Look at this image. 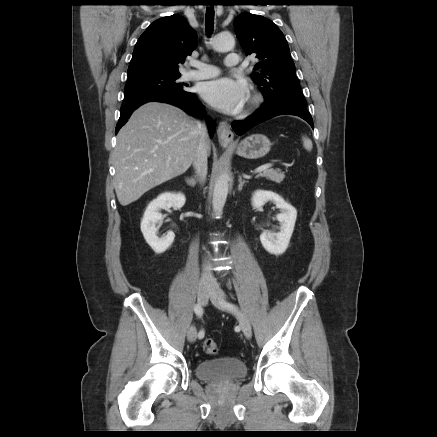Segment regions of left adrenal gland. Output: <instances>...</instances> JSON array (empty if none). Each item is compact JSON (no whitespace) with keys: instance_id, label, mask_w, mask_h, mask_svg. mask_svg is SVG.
I'll return each instance as SVG.
<instances>
[{"instance_id":"left-adrenal-gland-1","label":"left adrenal gland","mask_w":437,"mask_h":437,"mask_svg":"<svg viewBox=\"0 0 437 437\" xmlns=\"http://www.w3.org/2000/svg\"><path fill=\"white\" fill-rule=\"evenodd\" d=\"M238 181H239L238 190L241 191L244 183H246L247 181L242 179V176H239V180Z\"/></svg>"}]
</instances>
